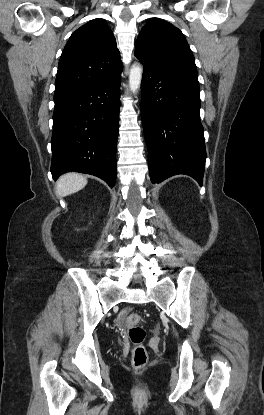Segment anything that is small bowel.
<instances>
[{"label":"small bowel","mask_w":264,"mask_h":415,"mask_svg":"<svg viewBox=\"0 0 264 415\" xmlns=\"http://www.w3.org/2000/svg\"><path fill=\"white\" fill-rule=\"evenodd\" d=\"M126 315H127L126 311L121 312L116 318V323L118 325H121L123 323V321L125 320Z\"/></svg>","instance_id":"small-bowel-1"}]
</instances>
